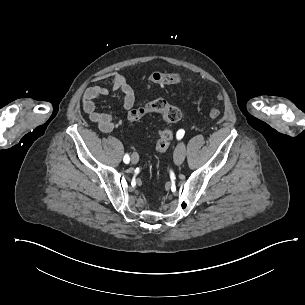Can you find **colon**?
I'll use <instances>...</instances> for the list:
<instances>
[{"instance_id":"obj_1","label":"colon","mask_w":305,"mask_h":305,"mask_svg":"<svg viewBox=\"0 0 305 305\" xmlns=\"http://www.w3.org/2000/svg\"><path fill=\"white\" fill-rule=\"evenodd\" d=\"M154 84L158 87H174L176 84L179 86L190 89L193 86L192 80L181 77L180 74L168 71L166 74L161 72H150L145 84ZM148 113H159L162 115V119L167 124H173L179 121L181 117L180 110L170 105L166 100L156 99L152 100L145 105L132 109L127 114V120L131 123L138 122L143 116ZM210 117L217 118L220 116V110L212 107L209 112ZM173 142V132L169 129H159L157 131V141L155 144V151L158 153H163L171 146Z\"/></svg>"}]
</instances>
